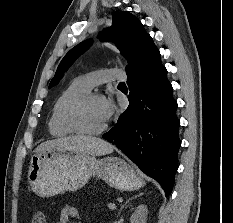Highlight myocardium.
Returning a JSON list of instances; mask_svg holds the SVG:
<instances>
[{
    "label": "myocardium",
    "instance_id": "myocardium-1",
    "mask_svg": "<svg viewBox=\"0 0 233 223\" xmlns=\"http://www.w3.org/2000/svg\"><path fill=\"white\" fill-rule=\"evenodd\" d=\"M99 98V95L97 94H87L83 98L77 100L69 109L67 114V124L68 126L73 130L75 134L81 135V136H87V137H93L98 136L102 134L107 128L108 124L105 123L101 128L95 130V131H88L85 130L81 126V114L86 107V105L93 99Z\"/></svg>",
    "mask_w": 233,
    "mask_h": 223
}]
</instances>
